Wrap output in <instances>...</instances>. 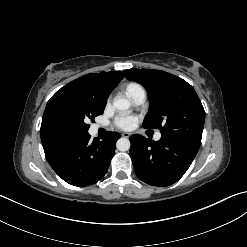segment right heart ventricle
<instances>
[{"label": "right heart ventricle", "instance_id": "1", "mask_svg": "<svg viewBox=\"0 0 247 247\" xmlns=\"http://www.w3.org/2000/svg\"><path fill=\"white\" fill-rule=\"evenodd\" d=\"M140 89H143L141 85L135 82H131L126 85L125 92L131 98Z\"/></svg>", "mask_w": 247, "mask_h": 247}]
</instances>
